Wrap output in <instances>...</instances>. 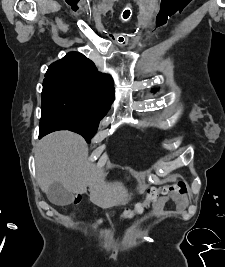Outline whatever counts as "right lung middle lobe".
Instances as JSON below:
<instances>
[{"instance_id":"right-lung-middle-lobe-1","label":"right lung middle lobe","mask_w":225,"mask_h":267,"mask_svg":"<svg viewBox=\"0 0 225 267\" xmlns=\"http://www.w3.org/2000/svg\"><path fill=\"white\" fill-rule=\"evenodd\" d=\"M109 107L85 89L62 82L43 83L42 119H54L90 143Z\"/></svg>"}]
</instances>
